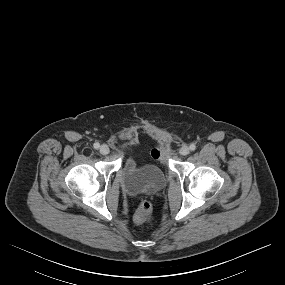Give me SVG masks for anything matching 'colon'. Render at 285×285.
Returning <instances> with one entry per match:
<instances>
[{"instance_id": "colon-1", "label": "colon", "mask_w": 285, "mask_h": 285, "mask_svg": "<svg viewBox=\"0 0 285 285\" xmlns=\"http://www.w3.org/2000/svg\"><path fill=\"white\" fill-rule=\"evenodd\" d=\"M153 156L160 159L162 157V150L159 148L155 149ZM153 218L154 214L151 203L148 201L140 202L134 213V220L139 224H149L153 221Z\"/></svg>"}]
</instances>
